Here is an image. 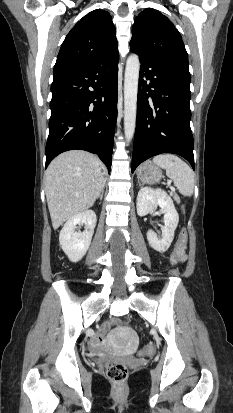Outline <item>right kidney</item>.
Listing matches in <instances>:
<instances>
[{
    "label": "right kidney",
    "mask_w": 233,
    "mask_h": 413,
    "mask_svg": "<svg viewBox=\"0 0 233 413\" xmlns=\"http://www.w3.org/2000/svg\"><path fill=\"white\" fill-rule=\"evenodd\" d=\"M97 218L93 210H86L72 218L64 224L59 242L62 250L72 262L80 261L86 254L91 244ZM84 224L83 232H74L76 225Z\"/></svg>",
    "instance_id": "1"
}]
</instances>
